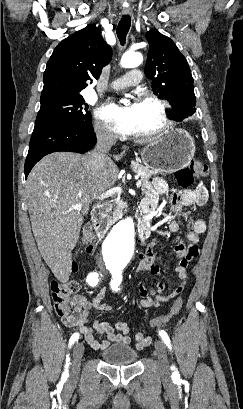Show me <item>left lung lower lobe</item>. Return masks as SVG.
Returning <instances> with one entry per match:
<instances>
[{
  "instance_id": "0a47b994",
  "label": "left lung lower lobe",
  "mask_w": 243,
  "mask_h": 409,
  "mask_svg": "<svg viewBox=\"0 0 243 409\" xmlns=\"http://www.w3.org/2000/svg\"><path fill=\"white\" fill-rule=\"evenodd\" d=\"M193 114H194V112H191V113L186 114V115H178V116L174 117L173 120H176V121H178V122H181L184 118H187V117H189V116H192Z\"/></svg>"
}]
</instances>
